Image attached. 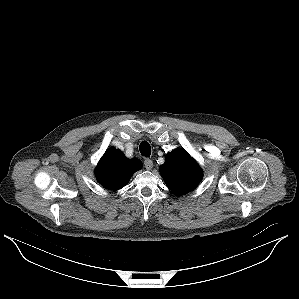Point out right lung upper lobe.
<instances>
[{"instance_id":"right-lung-upper-lobe-1","label":"right lung upper lobe","mask_w":299,"mask_h":299,"mask_svg":"<svg viewBox=\"0 0 299 299\" xmlns=\"http://www.w3.org/2000/svg\"><path fill=\"white\" fill-rule=\"evenodd\" d=\"M141 168L142 162L139 159H128L122 151L111 147L99 161L95 169V177L103 187L119 190Z\"/></svg>"}]
</instances>
